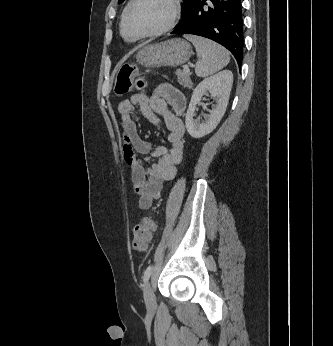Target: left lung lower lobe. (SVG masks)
<instances>
[{"instance_id": "obj_1", "label": "left lung lower lobe", "mask_w": 333, "mask_h": 346, "mask_svg": "<svg viewBox=\"0 0 333 346\" xmlns=\"http://www.w3.org/2000/svg\"><path fill=\"white\" fill-rule=\"evenodd\" d=\"M171 33L209 38L227 48L241 65L244 47L241 0H191Z\"/></svg>"}]
</instances>
